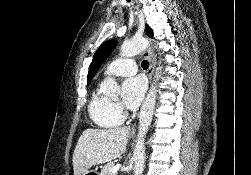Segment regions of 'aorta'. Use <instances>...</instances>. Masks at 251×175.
<instances>
[{
    "instance_id": "1",
    "label": "aorta",
    "mask_w": 251,
    "mask_h": 175,
    "mask_svg": "<svg viewBox=\"0 0 251 175\" xmlns=\"http://www.w3.org/2000/svg\"><path fill=\"white\" fill-rule=\"evenodd\" d=\"M149 42L145 40V38H132V40H128V42H123L121 46V58H132V56H136V54H140L143 52L145 48H147ZM161 68H156L155 72V80H153V84L151 89H149L145 101L142 103L141 111L139 113V129L135 141L134 147V175H141L144 171V163H145V145L144 139L145 135L148 131V127L152 121L153 111L156 105V88L155 84L158 82L157 78H159ZM118 84L113 80V78H106L103 80L100 89L103 93H111V95H115L118 91Z\"/></svg>"
}]
</instances>
